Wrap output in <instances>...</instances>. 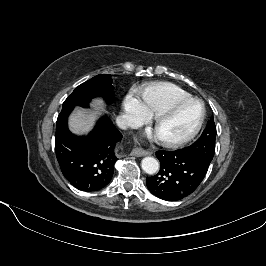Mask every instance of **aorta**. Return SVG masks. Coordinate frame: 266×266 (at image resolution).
I'll return each mask as SVG.
<instances>
[{
    "label": "aorta",
    "mask_w": 266,
    "mask_h": 266,
    "mask_svg": "<svg viewBox=\"0 0 266 266\" xmlns=\"http://www.w3.org/2000/svg\"><path fill=\"white\" fill-rule=\"evenodd\" d=\"M141 167L147 174H155L159 170V162L154 157H145L141 162Z\"/></svg>",
    "instance_id": "762f6f07"
}]
</instances>
